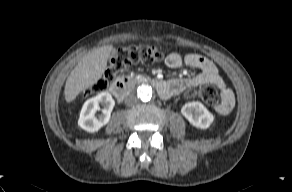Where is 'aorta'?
Here are the masks:
<instances>
[{
	"mask_svg": "<svg viewBox=\"0 0 292 192\" xmlns=\"http://www.w3.org/2000/svg\"><path fill=\"white\" fill-rule=\"evenodd\" d=\"M153 94L152 87L148 84H142L137 89V96L143 102H148L151 100Z\"/></svg>",
	"mask_w": 292,
	"mask_h": 192,
	"instance_id": "aorta-1",
	"label": "aorta"
}]
</instances>
